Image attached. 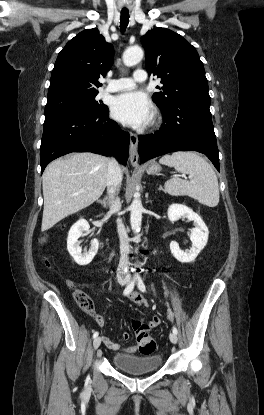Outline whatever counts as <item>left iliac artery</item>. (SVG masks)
Masks as SVG:
<instances>
[{"mask_svg": "<svg viewBox=\"0 0 264 415\" xmlns=\"http://www.w3.org/2000/svg\"><path fill=\"white\" fill-rule=\"evenodd\" d=\"M137 285L140 291L145 292L146 291V287L145 284L143 282V280L137 276ZM173 332L177 335L178 331L176 327H173Z\"/></svg>", "mask_w": 264, "mask_h": 415, "instance_id": "1", "label": "left iliac artery"}]
</instances>
